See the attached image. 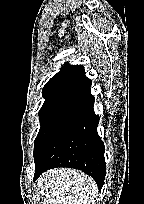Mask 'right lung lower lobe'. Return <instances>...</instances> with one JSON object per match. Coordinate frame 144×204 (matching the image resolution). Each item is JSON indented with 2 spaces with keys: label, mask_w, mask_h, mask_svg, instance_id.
<instances>
[{
  "label": "right lung lower lobe",
  "mask_w": 144,
  "mask_h": 204,
  "mask_svg": "<svg viewBox=\"0 0 144 204\" xmlns=\"http://www.w3.org/2000/svg\"><path fill=\"white\" fill-rule=\"evenodd\" d=\"M93 106L94 97L87 92L65 111L35 158L34 180L48 169L71 167L93 177L102 188L106 174L104 144L97 133L99 116Z\"/></svg>",
  "instance_id": "obj_1"
}]
</instances>
